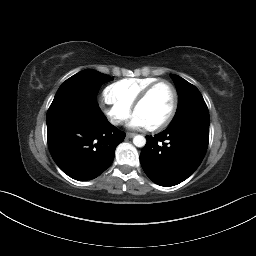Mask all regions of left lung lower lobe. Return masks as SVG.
I'll return each mask as SVG.
<instances>
[{
  "label": "left lung lower lobe",
  "instance_id": "left-lung-lower-lobe-1",
  "mask_svg": "<svg viewBox=\"0 0 256 256\" xmlns=\"http://www.w3.org/2000/svg\"><path fill=\"white\" fill-rule=\"evenodd\" d=\"M146 138L140 154L144 172L158 185L174 186L202 162L209 142V124L188 120Z\"/></svg>",
  "mask_w": 256,
  "mask_h": 256
}]
</instances>
